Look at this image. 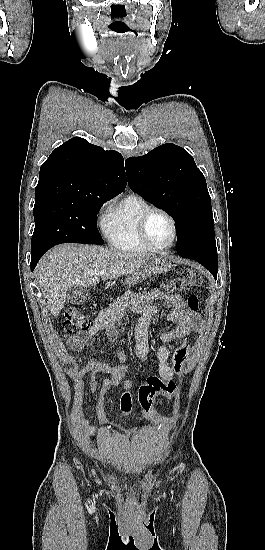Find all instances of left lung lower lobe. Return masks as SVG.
Masks as SVG:
<instances>
[{"mask_svg":"<svg viewBox=\"0 0 265 550\" xmlns=\"http://www.w3.org/2000/svg\"><path fill=\"white\" fill-rule=\"evenodd\" d=\"M182 257L196 260L208 269L215 279L217 278V254L215 252L205 249Z\"/></svg>","mask_w":265,"mask_h":550,"instance_id":"left-lung-lower-lobe-1","label":"left lung lower lobe"}]
</instances>
